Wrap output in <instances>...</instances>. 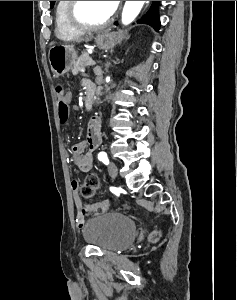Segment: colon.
I'll return each instance as SVG.
<instances>
[{"instance_id":"5ec220e1","label":"colon","mask_w":237,"mask_h":300,"mask_svg":"<svg viewBox=\"0 0 237 300\" xmlns=\"http://www.w3.org/2000/svg\"><path fill=\"white\" fill-rule=\"evenodd\" d=\"M57 94L60 100L59 103V117L62 124H66L69 119V106L68 101L65 98L66 91L61 87H57ZM99 187V178L94 174H89L86 176L84 183L81 185L80 188V195L84 199H90L92 198L97 189ZM160 237V233L158 231H155L151 234V240L156 241Z\"/></svg>"}]
</instances>
